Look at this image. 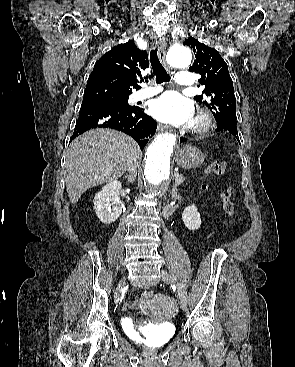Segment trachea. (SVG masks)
<instances>
[{
  "mask_svg": "<svg viewBox=\"0 0 295 367\" xmlns=\"http://www.w3.org/2000/svg\"><path fill=\"white\" fill-rule=\"evenodd\" d=\"M157 52H158L157 48L152 49L150 52V62H151L153 74L156 76V83L160 84L163 82H169L170 77L167 74L165 68L160 63Z\"/></svg>",
  "mask_w": 295,
  "mask_h": 367,
  "instance_id": "3493384b",
  "label": "trachea"
}]
</instances>
